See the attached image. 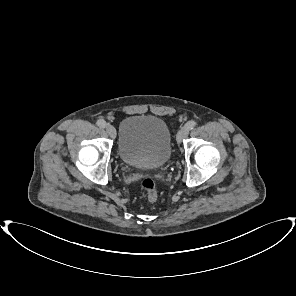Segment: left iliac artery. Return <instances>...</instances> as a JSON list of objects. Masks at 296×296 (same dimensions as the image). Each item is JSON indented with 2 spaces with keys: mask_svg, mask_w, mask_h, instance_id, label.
I'll return each instance as SVG.
<instances>
[{
  "mask_svg": "<svg viewBox=\"0 0 296 296\" xmlns=\"http://www.w3.org/2000/svg\"><path fill=\"white\" fill-rule=\"evenodd\" d=\"M196 122L191 120L189 122H187V124L185 125L189 130L193 129L196 126Z\"/></svg>",
  "mask_w": 296,
  "mask_h": 296,
  "instance_id": "1",
  "label": "left iliac artery"
}]
</instances>
